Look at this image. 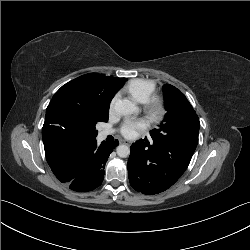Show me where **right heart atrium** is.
Returning <instances> with one entry per match:
<instances>
[{"mask_svg": "<svg viewBox=\"0 0 250 250\" xmlns=\"http://www.w3.org/2000/svg\"><path fill=\"white\" fill-rule=\"evenodd\" d=\"M116 100H117V97L115 96V97L112 98V100L110 102L109 109H110L111 112L114 110Z\"/></svg>", "mask_w": 250, "mask_h": 250, "instance_id": "right-heart-atrium-1", "label": "right heart atrium"}]
</instances>
